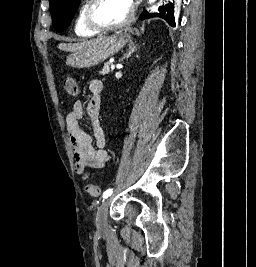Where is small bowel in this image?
I'll use <instances>...</instances> for the list:
<instances>
[{
	"label": "small bowel",
	"instance_id": "obj_1",
	"mask_svg": "<svg viewBox=\"0 0 256 267\" xmlns=\"http://www.w3.org/2000/svg\"><path fill=\"white\" fill-rule=\"evenodd\" d=\"M88 88L91 97L87 104V113L92 135L85 132L79 124L84 117V106L81 101H76L66 116V129L72 146L75 170L78 174H84L87 168H101L111 158L105 150V134L99 121L103 83L100 79H91Z\"/></svg>",
	"mask_w": 256,
	"mask_h": 267
}]
</instances>
